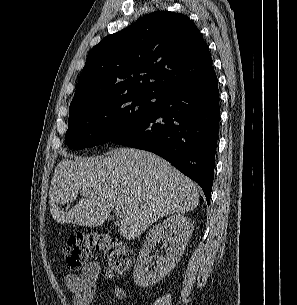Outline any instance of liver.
Returning <instances> with one entry per match:
<instances>
[{"label":"liver","mask_w":297,"mask_h":305,"mask_svg":"<svg viewBox=\"0 0 297 305\" xmlns=\"http://www.w3.org/2000/svg\"><path fill=\"white\" fill-rule=\"evenodd\" d=\"M84 197L70 210L63 205ZM52 217L60 224L98 227L113 206H124L120 233L140 236L161 217L185 213L199 204L195 183L152 153L113 149L106 156L68 159L55 168L49 190Z\"/></svg>","instance_id":"liver-1"}]
</instances>
